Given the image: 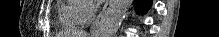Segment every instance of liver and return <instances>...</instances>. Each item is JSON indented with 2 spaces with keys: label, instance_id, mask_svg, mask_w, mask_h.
Returning a JSON list of instances; mask_svg holds the SVG:
<instances>
[{
  "label": "liver",
  "instance_id": "1",
  "mask_svg": "<svg viewBox=\"0 0 219 37\" xmlns=\"http://www.w3.org/2000/svg\"><path fill=\"white\" fill-rule=\"evenodd\" d=\"M76 35H80L79 37H87V36H86V33H83V32H82V33H78V34H76Z\"/></svg>",
  "mask_w": 219,
  "mask_h": 37
}]
</instances>
